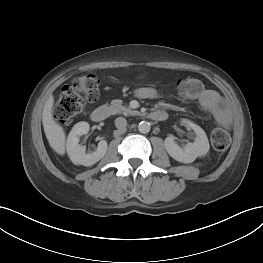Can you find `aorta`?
I'll list each match as a JSON object with an SVG mask.
<instances>
[{
	"label": "aorta",
	"instance_id": "762f6f07",
	"mask_svg": "<svg viewBox=\"0 0 263 263\" xmlns=\"http://www.w3.org/2000/svg\"><path fill=\"white\" fill-rule=\"evenodd\" d=\"M138 130L140 133L146 134L150 131V123L147 121H142L138 125Z\"/></svg>",
	"mask_w": 263,
	"mask_h": 263
}]
</instances>
